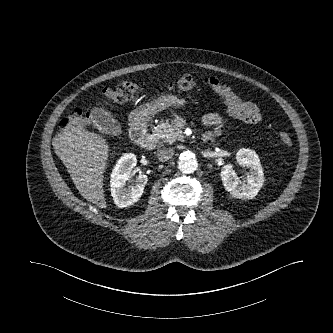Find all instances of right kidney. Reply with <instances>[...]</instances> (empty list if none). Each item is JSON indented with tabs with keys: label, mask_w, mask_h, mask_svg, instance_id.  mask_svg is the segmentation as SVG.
Here are the masks:
<instances>
[{
	"label": "right kidney",
	"mask_w": 333,
	"mask_h": 333,
	"mask_svg": "<svg viewBox=\"0 0 333 333\" xmlns=\"http://www.w3.org/2000/svg\"><path fill=\"white\" fill-rule=\"evenodd\" d=\"M134 154H124L115 164L111 173L110 187L114 203L120 207H127L139 200L143 194V189L148 181L146 175H139L135 185L126 187V182L130 179V173L136 165Z\"/></svg>",
	"instance_id": "obj_1"
}]
</instances>
